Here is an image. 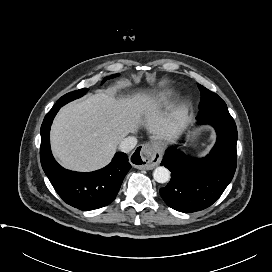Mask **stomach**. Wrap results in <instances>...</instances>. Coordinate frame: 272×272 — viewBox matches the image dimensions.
I'll return each instance as SVG.
<instances>
[{"mask_svg": "<svg viewBox=\"0 0 272 272\" xmlns=\"http://www.w3.org/2000/svg\"><path fill=\"white\" fill-rule=\"evenodd\" d=\"M164 141H166V142H174V136H172V137H170V138H168V139H166ZM157 144L159 146H161L162 145V141H158Z\"/></svg>", "mask_w": 272, "mask_h": 272, "instance_id": "stomach-1", "label": "stomach"}]
</instances>
